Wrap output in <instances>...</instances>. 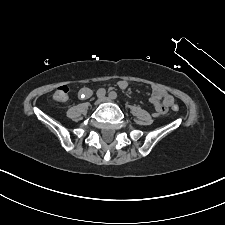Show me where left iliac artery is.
<instances>
[{
    "instance_id": "left-iliac-artery-1",
    "label": "left iliac artery",
    "mask_w": 225,
    "mask_h": 225,
    "mask_svg": "<svg viewBox=\"0 0 225 225\" xmlns=\"http://www.w3.org/2000/svg\"><path fill=\"white\" fill-rule=\"evenodd\" d=\"M109 97H110L111 99H116V98H117V93L114 92V91H112V92L109 93Z\"/></svg>"
}]
</instances>
